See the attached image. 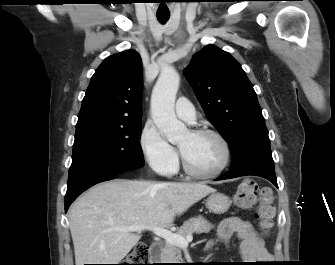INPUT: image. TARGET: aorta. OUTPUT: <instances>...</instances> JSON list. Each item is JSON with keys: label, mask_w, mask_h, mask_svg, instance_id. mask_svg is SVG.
I'll return each instance as SVG.
<instances>
[{"label": "aorta", "mask_w": 335, "mask_h": 265, "mask_svg": "<svg viewBox=\"0 0 335 265\" xmlns=\"http://www.w3.org/2000/svg\"><path fill=\"white\" fill-rule=\"evenodd\" d=\"M179 83V74L171 67L164 68L151 96L152 119L171 143L178 141L186 133V126L177 119L174 111Z\"/></svg>", "instance_id": "762f6f07"}]
</instances>
